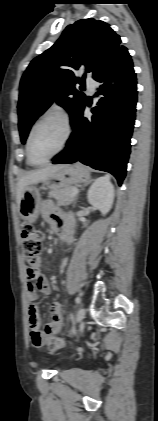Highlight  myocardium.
Listing matches in <instances>:
<instances>
[{"label": "myocardium", "mask_w": 158, "mask_h": 421, "mask_svg": "<svg viewBox=\"0 0 158 421\" xmlns=\"http://www.w3.org/2000/svg\"><path fill=\"white\" fill-rule=\"evenodd\" d=\"M49 118H56V119H58V120H60L62 122V124L64 126V138H63V141H62L60 147L50 157H48L47 159H45L42 162H34L32 160V158H31V154H30V143H31V138H32L33 132H34V130L36 129V127L41 122H43L44 120L49 119ZM71 134H72L71 122H70L68 116L65 113H63L61 111H58V110L47 111L46 113H44L43 115H41L33 123V125L30 128V131L28 133V137H27V141H26V153H27L28 162L31 165H34V166H42V165L47 164L55 156H57L59 153H61L65 149V147L67 146V144H68V142L70 140Z\"/></svg>", "instance_id": "1"}]
</instances>
